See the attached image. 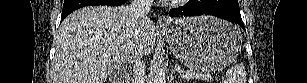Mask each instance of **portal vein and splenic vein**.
Wrapping results in <instances>:
<instances>
[{
  "label": "portal vein and splenic vein",
  "mask_w": 307,
  "mask_h": 83,
  "mask_svg": "<svg viewBox=\"0 0 307 83\" xmlns=\"http://www.w3.org/2000/svg\"><path fill=\"white\" fill-rule=\"evenodd\" d=\"M180 76L182 78L188 79V78H196V79H201V80H211L212 75L210 74H192V73H181Z\"/></svg>",
  "instance_id": "portal-vein-and-splenic-vein-1"
}]
</instances>
